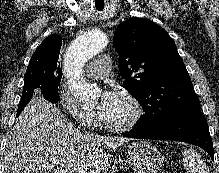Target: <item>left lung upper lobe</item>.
Listing matches in <instances>:
<instances>
[{"instance_id":"obj_1","label":"left lung upper lobe","mask_w":219,"mask_h":173,"mask_svg":"<svg viewBox=\"0 0 219 173\" xmlns=\"http://www.w3.org/2000/svg\"><path fill=\"white\" fill-rule=\"evenodd\" d=\"M113 45L123 83L144 108L138 128L155 129L176 116L200 110L175 42L162 27L131 18L117 27Z\"/></svg>"}]
</instances>
